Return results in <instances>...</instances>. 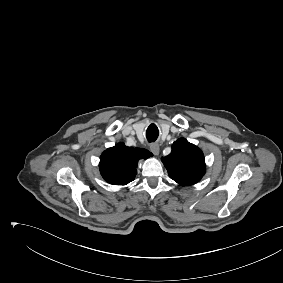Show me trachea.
Returning <instances> with one entry per match:
<instances>
[{"instance_id": "3493384b", "label": "trachea", "mask_w": 283, "mask_h": 283, "mask_svg": "<svg viewBox=\"0 0 283 283\" xmlns=\"http://www.w3.org/2000/svg\"><path fill=\"white\" fill-rule=\"evenodd\" d=\"M146 136L149 142H154L157 139V135L150 133L148 130Z\"/></svg>"}]
</instances>
